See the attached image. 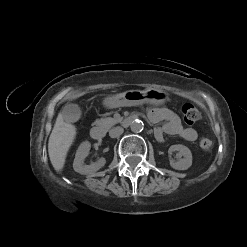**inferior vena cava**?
<instances>
[{
  "instance_id": "602c4592",
  "label": "inferior vena cava",
  "mask_w": 247,
  "mask_h": 247,
  "mask_svg": "<svg viewBox=\"0 0 247 247\" xmlns=\"http://www.w3.org/2000/svg\"><path fill=\"white\" fill-rule=\"evenodd\" d=\"M124 129L122 127H114L109 131V136L111 138H116L123 133Z\"/></svg>"
}]
</instances>
